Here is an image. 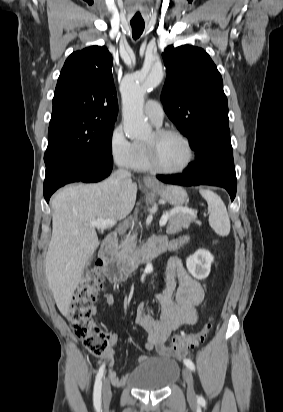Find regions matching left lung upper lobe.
Instances as JSON below:
<instances>
[{
	"instance_id": "1",
	"label": "left lung upper lobe",
	"mask_w": 283,
	"mask_h": 412,
	"mask_svg": "<svg viewBox=\"0 0 283 412\" xmlns=\"http://www.w3.org/2000/svg\"><path fill=\"white\" fill-rule=\"evenodd\" d=\"M162 56L167 79L161 100L168 117L195 156L203 151L226 157L236 181L228 102L217 67L203 49L190 45L168 46Z\"/></svg>"
}]
</instances>
